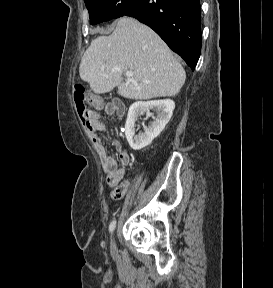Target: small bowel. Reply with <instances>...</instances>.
<instances>
[{"mask_svg": "<svg viewBox=\"0 0 273 288\" xmlns=\"http://www.w3.org/2000/svg\"><path fill=\"white\" fill-rule=\"evenodd\" d=\"M104 110L109 116L115 115L121 118L125 114L124 105L118 101L108 103ZM105 129L106 125L96 116L92 127L88 130L94 147L101 158L102 166L106 173L107 185L112 188L111 197L114 200H119L126 194L130 181L124 180V169L119 166L118 161L109 153L99 136V133L105 131ZM115 147L119 153L120 164L122 166L128 165L131 159L127 149L119 142H115Z\"/></svg>", "mask_w": 273, "mask_h": 288, "instance_id": "small-bowel-1", "label": "small bowel"}]
</instances>
